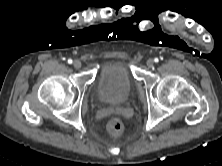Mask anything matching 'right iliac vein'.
<instances>
[{
  "label": "right iliac vein",
  "instance_id": "right-iliac-vein-1",
  "mask_svg": "<svg viewBox=\"0 0 222 166\" xmlns=\"http://www.w3.org/2000/svg\"><path fill=\"white\" fill-rule=\"evenodd\" d=\"M73 66H74V68L79 69V68H81L82 64L79 60H75L73 62Z\"/></svg>",
  "mask_w": 222,
  "mask_h": 166
}]
</instances>
